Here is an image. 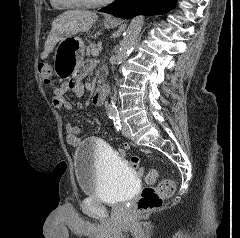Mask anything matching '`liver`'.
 Returning a JSON list of instances; mask_svg holds the SVG:
<instances>
[{
  "mask_svg": "<svg viewBox=\"0 0 240 238\" xmlns=\"http://www.w3.org/2000/svg\"><path fill=\"white\" fill-rule=\"evenodd\" d=\"M97 19V13L91 11L69 10L59 15L52 22L41 59H46L63 37L87 32Z\"/></svg>",
  "mask_w": 240,
  "mask_h": 238,
  "instance_id": "6515ba94",
  "label": "liver"
}]
</instances>
